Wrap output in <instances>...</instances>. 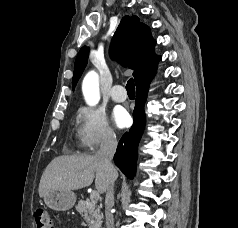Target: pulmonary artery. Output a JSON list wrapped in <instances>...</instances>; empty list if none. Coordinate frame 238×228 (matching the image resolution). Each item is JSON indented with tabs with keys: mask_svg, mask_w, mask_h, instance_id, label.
I'll use <instances>...</instances> for the list:
<instances>
[{
	"mask_svg": "<svg viewBox=\"0 0 238 228\" xmlns=\"http://www.w3.org/2000/svg\"><path fill=\"white\" fill-rule=\"evenodd\" d=\"M111 98L116 102H123L127 98V94L122 85H115L110 92Z\"/></svg>",
	"mask_w": 238,
	"mask_h": 228,
	"instance_id": "1",
	"label": "pulmonary artery"
}]
</instances>
